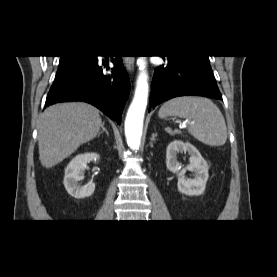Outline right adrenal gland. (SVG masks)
<instances>
[{
    "label": "right adrenal gland",
    "mask_w": 277,
    "mask_h": 277,
    "mask_svg": "<svg viewBox=\"0 0 277 277\" xmlns=\"http://www.w3.org/2000/svg\"><path fill=\"white\" fill-rule=\"evenodd\" d=\"M103 132H105L107 134V136H109V132L106 130V128L104 127V123L102 124V131L99 132L98 136H100V134H102Z\"/></svg>",
    "instance_id": "2a0ac1e0"
}]
</instances>
